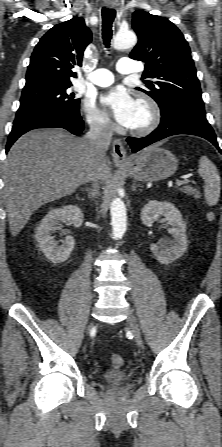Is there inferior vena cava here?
Returning a JSON list of instances; mask_svg holds the SVG:
<instances>
[{"label": "inferior vena cava", "mask_w": 222, "mask_h": 447, "mask_svg": "<svg viewBox=\"0 0 222 447\" xmlns=\"http://www.w3.org/2000/svg\"><path fill=\"white\" fill-rule=\"evenodd\" d=\"M113 131L108 120L92 121L90 130L84 139L88 142L89 150L92 156V164L90 169L84 174L83 182H93L96 190L98 188V172L97 167L101 160L106 158V152L111 143Z\"/></svg>", "instance_id": "obj_1"}]
</instances>
